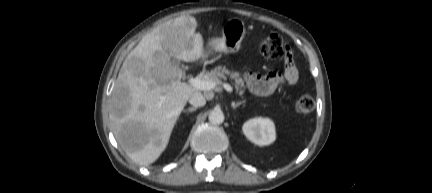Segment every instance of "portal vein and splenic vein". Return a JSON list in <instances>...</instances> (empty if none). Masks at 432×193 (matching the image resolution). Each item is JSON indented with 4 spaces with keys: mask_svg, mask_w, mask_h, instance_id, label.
I'll return each instance as SVG.
<instances>
[{
    "mask_svg": "<svg viewBox=\"0 0 432 193\" xmlns=\"http://www.w3.org/2000/svg\"><path fill=\"white\" fill-rule=\"evenodd\" d=\"M189 83L196 89L204 91H210L216 86V83L211 80H202L199 78H190ZM223 88L229 93L233 92V88L228 83H224Z\"/></svg>",
    "mask_w": 432,
    "mask_h": 193,
    "instance_id": "1",
    "label": "portal vein and splenic vein"
}]
</instances>
